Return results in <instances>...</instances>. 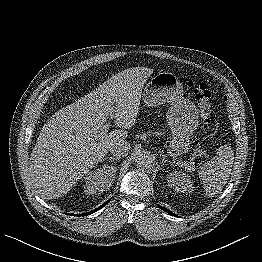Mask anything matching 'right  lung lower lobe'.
Segmentation results:
<instances>
[{"label": "right lung lower lobe", "mask_w": 262, "mask_h": 262, "mask_svg": "<svg viewBox=\"0 0 262 262\" xmlns=\"http://www.w3.org/2000/svg\"><path fill=\"white\" fill-rule=\"evenodd\" d=\"M110 200H108L106 203H104L103 205H101L100 207H98L97 209H94L90 212H87V213H84V214H78L76 216H85V215H89V214H92L94 212H96L97 210L101 209L103 206H105ZM74 215V214H73Z\"/></svg>", "instance_id": "98d812e1"}]
</instances>
